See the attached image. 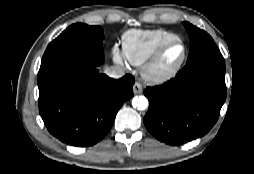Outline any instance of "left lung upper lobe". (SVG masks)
I'll return each instance as SVG.
<instances>
[{
    "label": "left lung upper lobe",
    "instance_id": "5c2ea615",
    "mask_svg": "<svg viewBox=\"0 0 254 174\" xmlns=\"http://www.w3.org/2000/svg\"><path fill=\"white\" fill-rule=\"evenodd\" d=\"M190 39V52L183 70L188 71L201 66H214L225 69L222 54L213 39L205 31L183 22Z\"/></svg>",
    "mask_w": 254,
    "mask_h": 174
}]
</instances>
